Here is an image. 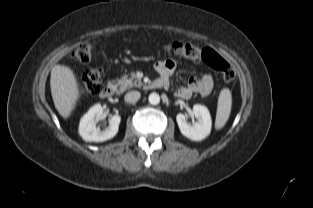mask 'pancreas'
Listing matches in <instances>:
<instances>
[{
  "instance_id": "pancreas-1",
  "label": "pancreas",
  "mask_w": 313,
  "mask_h": 208,
  "mask_svg": "<svg viewBox=\"0 0 313 208\" xmlns=\"http://www.w3.org/2000/svg\"><path fill=\"white\" fill-rule=\"evenodd\" d=\"M117 86L119 87V92L123 93L126 89L132 87H141L142 82L136 78L134 72L131 73V76L128 78L127 75H124L117 81Z\"/></svg>"
}]
</instances>
